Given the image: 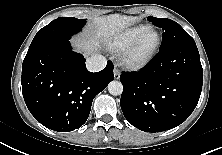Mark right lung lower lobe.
<instances>
[{"label":"right lung lower lobe","mask_w":222,"mask_h":155,"mask_svg":"<svg viewBox=\"0 0 222 155\" xmlns=\"http://www.w3.org/2000/svg\"><path fill=\"white\" fill-rule=\"evenodd\" d=\"M114 79L113 66L92 73L69 39L49 43L26 55L22 65L25 103L45 127L69 132L87 120L94 97Z\"/></svg>","instance_id":"98d812e1"}]
</instances>
